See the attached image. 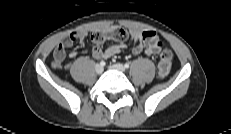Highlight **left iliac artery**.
Returning a JSON list of instances; mask_svg holds the SVG:
<instances>
[{"label":"left iliac artery","mask_w":231,"mask_h":134,"mask_svg":"<svg viewBox=\"0 0 231 134\" xmlns=\"http://www.w3.org/2000/svg\"><path fill=\"white\" fill-rule=\"evenodd\" d=\"M129 66H130L129 63H126V64L124 65L125 68H129Z\"/></svg>","instance_id":"44dca946"}]
</instances>
